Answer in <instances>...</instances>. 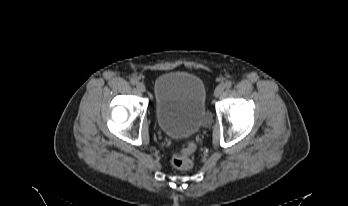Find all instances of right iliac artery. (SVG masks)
I'll list each match as a JSON object with an SVG mask.
<instances>
[{
    "label": "right iliac artery",
    "mask_w": 348,
    "mask_h": 206,
    "mask_svg": "<svg viewBox=\"0 0 348 206\" xmlns=\"http://www.w3.org/2000/svg\"><path fill=\"white\" fill-rule=\"evenodd\" d=\"M130 82L131 84L136 85L138 81L135 78H131Z\"/></svg>",
    "instance_id": "obj_1"
}]
</instances>
